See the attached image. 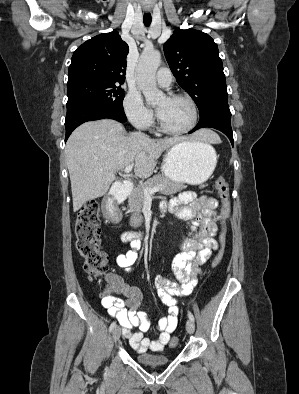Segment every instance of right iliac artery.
I'll use <instances>...</instances> for the list:
<instances>
[{"mask_svg":"<svg viewBox=\"0 0 299 394\" xmlns=\"http://www.w3.org/2000/svg\"><path fill=\"white\" fill-rule=\"evenodd\" d=\"M116 327V322H112L110 327H109V331L112 332V330Z\"/></svg>","mask_w":299,"mask_h":394,"instance_id":"82829eb1","label":"right iliac artery"}]
</instances>
